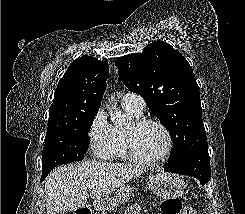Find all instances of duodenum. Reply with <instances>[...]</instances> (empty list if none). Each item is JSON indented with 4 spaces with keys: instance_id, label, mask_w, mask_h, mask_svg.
I'll use <instances>...</instances> for the list:
<instances>
[{
    "instance_id": "410a0bca",
    "label": "duodenum",
    "mask_w": 245,
    "mask_h": 214,
    "mask_svg": "<svg viewBox=\"0 0 245 214\" xmlns=\"http://www.w3.org/2000/svg\"><path fill=\"white\" fill-rule=\"evenodd\" d=\"M103 204H104V202H103L102 200H97V201H96V206H97L98 208L103 207ZM79 214H85V213H83V212L81 211Z\"/></svg>"
}]
</instances>
